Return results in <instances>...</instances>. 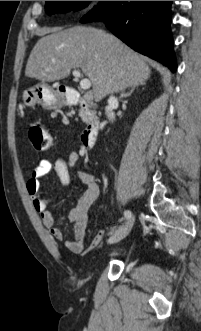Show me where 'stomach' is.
Listing matches in <instances>:
<instances>
[{
    "mask_svg": "<svg viewBox=\"0 0 201 331\" xmlns=\"http://www.w3.org/2000/svg\"><path fill=\"white\" fill-rule=\"evenodd\" d=\"M22 98L24 105L31 108L40 105L44 109L52 110L61 105V101L57 94L46 83H38L27 88L23 92Z\"/></svg>",
    "mask_w": 201,
    "mask_h": 331,
    "instance_id": "1",
    "label": "stomach"
}]
</instances>
